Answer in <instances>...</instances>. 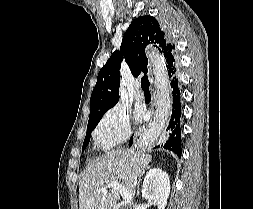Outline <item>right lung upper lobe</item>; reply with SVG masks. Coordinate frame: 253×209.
I'll return each mask as SVG.
<instances>
[{
  "mask_svg": "<svg viewBox=\"0 0 253 209\" xmlns=\"http://www.w3.org/2000/svg\"><path fill=\"white\" fill-rule=\"evenodd\" d=\"M154 44L164 55L168 73L174 71V45L161 30L158 21L152 16H140L134 20L124 34L120 51H115L101 68L97 83L90 99V118L104 114L119 100L120 66L123 58L131 72L137 76L141 71L148 72V59L145 48Z\"/></svg>",
  "mask_w": 253,
  "mask_h": 209,
  "instance_id": "cb5924a9",
  "label": "right lung upper lobe"
}]
</instances>
